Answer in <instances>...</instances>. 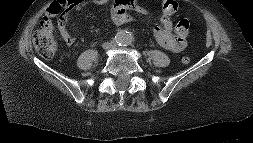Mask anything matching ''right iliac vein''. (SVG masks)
Returning <instances> with one entry per match:
<instances>
[{"mask_svg":"<svg viewBox=\"0 0 253 143\" xmlns=\"http://www.w3.org/2000/svg\"><path fill=\"white\" fill-rule=\"evenodd\" d=\"M111 46H112L111 43H104L103 44V48L106 49V50L111 48Z\"/></svg>","mask_w":253,"mask_h":143,"instance_id":"right-iliac-vein-1","label":"right iliac vein"}]
</instances>
